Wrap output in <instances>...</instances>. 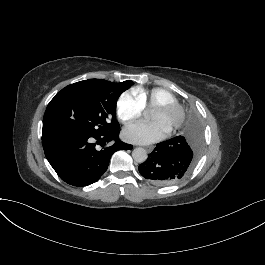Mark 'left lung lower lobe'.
Here are the masks:
<instances>
[{
    "label": "left lung lower lobe",
    "mask_w": 265,
    "mask_h": 265,
    "mask_svg": "<svg viewBox=\"0 0 265 265\" xmlns=\"http://www.w3.org/2000/svg\"><path fill=\"white\" fill-rule=\"evenodd\" d=\"M200 121L190 119L185 134L158 143L147 160L140 164V174L156 185H170L180 181L194 167L201 151Z\"/></svg>",
    "instance_id": "obj_1"
}]
</instances>
